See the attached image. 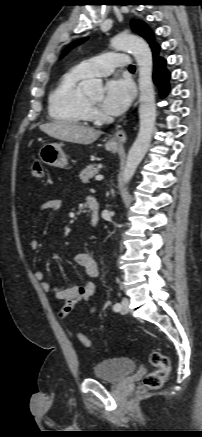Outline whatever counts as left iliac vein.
<instances>
[{"label":"left iliac vein","mask_w":202,"mask_h":437,"mask_svg":"<svg viewBox=\"0 0 202 437\" xmlns=\"http://www.w3.org/2000/svg\"><path fill=\"white\" fill-rule=\"evenodd\" d=\"M128 311H129V300H128V298L124 297L122 299V302H121L120 312L122 314H126V313H128Z\"/></svg>","instance_id":"4c4485c4"}]
</instances>
